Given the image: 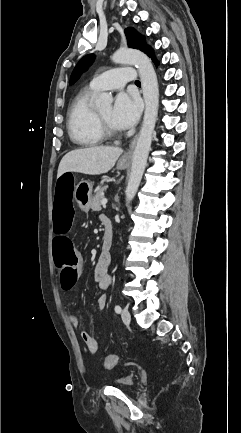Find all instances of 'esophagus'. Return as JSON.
<instances>
[{
    "instance_id": "esophagus-1",
    "label": "esophagus",
    "mask_w": 241,
    "mask_h": 433,
    "mask_svg": "<svg viewBox=\"0 0 241 433\" xmlns=\"http://www.w3.org/2000/svg\"><path fill=\"white\" fill-rule=\"evenodd\" d=\"M138 135H136L130 142L129 144V149L127 150V152L124 154L123 156V160H128L131 159L132 154H133V149L135 147L136 141H137Z\"/></svg>"
}]
</instances>
